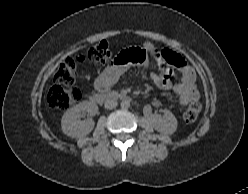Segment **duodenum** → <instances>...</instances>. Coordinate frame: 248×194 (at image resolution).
I'll list each match as a JSON object with an SVG mask.
<instances>
[{"mask_svg":"<svg viewBox=\"0 0 248 194\" xmlns=\"http://www.w3.org/2000/svg\"><path fill=\"white\" fill-rule=\"evenodd\" d=\"M129 95L121 92H96L90 97V100L95 104H102L109 100H127Z\"/></svg>","mask_w":248,"mask_h":194,"instance_id":"obj_1","label":"duodenum"}]
</instances>
